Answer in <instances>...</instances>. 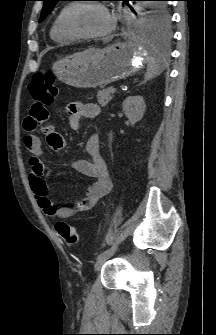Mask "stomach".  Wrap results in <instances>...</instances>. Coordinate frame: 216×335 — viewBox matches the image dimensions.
Wrapping results in <instances>:
<instances>
[{"mask_svg":"<svg viewBox=\"0 0 216 335\" xmlns=\"http://www.w3.org/2000/svg\"><path fill=\"white\" fill-rule=\"evenodd\" d=\"M149 55L131 42H116L104 49L89 48L57 61L52 70L62 82L77 88L105 87L124 79L148 63Z\"/></svg>","mask_w":216,"mask_h":335,"instance_id":"stomach-1","label":"stomach"}]
</instances>
